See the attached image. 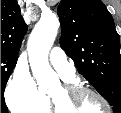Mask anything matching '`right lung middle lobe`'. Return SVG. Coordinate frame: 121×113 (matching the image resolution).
Segmentation results:
<instances>
[{"label":"right lung middle lobe","instance_id":"1","mask_svg":"<svg viewBox=\"0 0 121 113\" xmlns=\"http://www.w3.org/2000/svg\"><path fill=\"white\" fill-rule=\"evenodd\" d=\"M18 57L1 53V109L7 110L4 102V90L7 80L14 69Z\"/></svg>","mask_w":121,"mask_h":113}]
</instances>
